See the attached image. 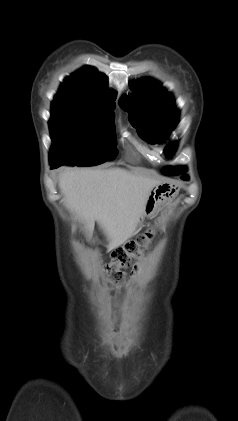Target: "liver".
Listing matches in <instances>:
<instances>
[{"mask_svg":"<svg viewBox=\"0 0 238 421\" xmlns=\"http://www.w3.org/2000/svg\"><path fill=\"white\" fill-rule=\"evenodd\" d=\"M159 183L123 168H66L58 176L66 207L90 232L97 221L108 238L109 250L134 234L149 193Z\"/></svg>","mask_w":238,"mask_h":421,"instance_id":"1","label":"liver"}]
</instances>
